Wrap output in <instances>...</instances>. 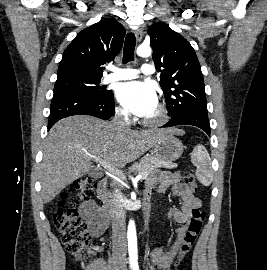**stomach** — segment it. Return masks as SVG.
I'll list each match as a JSON object with an SVG mask.
<instances>
[{
	"label": "stomach",
	"instance_id": "0dacf381",
	"mask_svg": "<svg viewBox=\"0 0 267 270\" xmlns=\"http://www.w3.org/2000/svg\"><path fill=\"white\" fill-rule=\"evenodd\" d=\"M183 144L173 134L163 136L153 148L155 156L165 161H175L183 153Z\"/></svg>",
	"mask_w": 267,
	"mask_h": 270
}]
</instances>
